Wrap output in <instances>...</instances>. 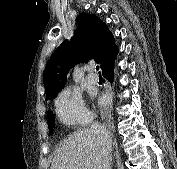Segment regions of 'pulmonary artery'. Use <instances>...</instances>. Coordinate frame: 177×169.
I'll return each mask as SVG.
<instances>
[{
	"label": "pulmonary artery",
	"mask_w": 177,
	"mask_h": 169,
	"mask_svg": "<svg viewBox=\"0 0 177 169\" xmlns=\"http://www.w3.org/2000/svg\"><path fill=\"white\" fill-rule=\"evenodd\" d=\"M89 70L90 71L93 70V65L89 66ZM86 79L91 84H96L98 82V80H99L98 75L93 73V72L88 73L87 76H86Z\"/></svg>",
	"instance_id": "pulmonary-artery-1"
}]
</instances>
